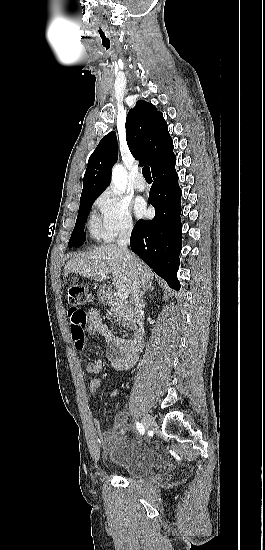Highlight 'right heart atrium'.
<instances>
[{
	"label": "right heart atrium",
	"mask_w": 265,
	"mask_h": 550,
	"mask_svg": "<svg viewBox=\"0 0 265 550\" xmlns=\"http://www.w3.org/2000/svg\"><path fill=\"white\" fill-rule=\"evenodd\" d=\"M101 214V229L106 240L128 235L134 228L130 204L112 189L105 190L95 202Z\"/></svg>",
	"instance_id": "right-heart-atrium-1"
}]
</instances>
